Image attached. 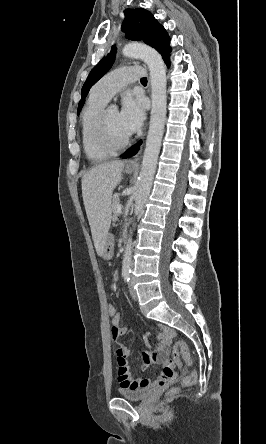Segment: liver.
Wrapping results in <instances>:
<instances>
[{
  "instance_id": "obj_1",
  "label": "liver",
  "mask_w": 266,
  "mask_h": 444,
  "mask_svg": "<svg viewBox=\"0 0 266 444\" xmlns=\"http://www.w3.org/2000/svg\"><path fill=\"white\" fill-rule=\"evenodd\" d=\"M122 161L99 164L82 178V196L96 252L102 256L111 224L113 190L121 181Z\"/></svg>"
}]
</instances>
